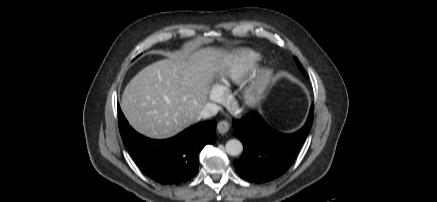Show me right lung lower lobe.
<instances>
[{
    "label": "right lung lower lobe",
    "mask_w": 437,
    "mask_h": 202,
    "mask_svg": "<svg viewBox=\"0 0 437 202\" xmlns=\"http://www.w3.org/2000/svg\"><path fill=\"white\" fill-rule=\"evenodd\" d=\"M121 136L141 171L162 184H180L199 170V153L216 139V122L206 121L187 128L173 138L153 140L134 131L118 105Z\"/></svg>",
    "instance_id": "1"
}]
</instances>
